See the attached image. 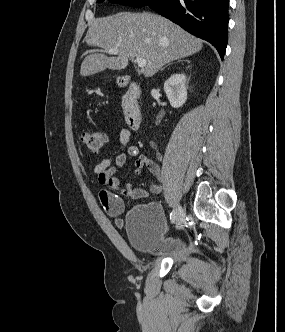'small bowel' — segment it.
I'll return each mask as SVG.
<instances>
[{
    "label": "small bowel",
    "instance_id": "small-bowel-1",
    "mask_svg": "<svg viewBox=\"0 0 285 332\" xmlns=\"http://www.w3.org/2000/svg\"><path fill=\"white\" fill-rule=\"evenodd\" d=\"M130 139L131 131L128 128H120L119 142L125 147V151L117 152L113 158L106 157L102 159L93 170L98 183L101 186L108 187L101 188L98 191V196L108 216L114 218L117 227H123L124 225L121 215L125 210L123 199L119 194L137 200L146 198L150 194H159L162 191V185L158 182H151L149 191H147L134 187L132 181L122 185L116 177L118 167L123 166L128 158H136L134 163L135 175H139L144 168H147L154 177L161 180L160 166L148 156L140 154V150L136 145H130Z\"/></svg>",
    "mask_w": 285,
    "mask_h": 332
}]
</instances>
